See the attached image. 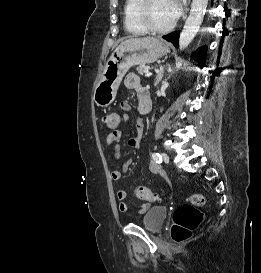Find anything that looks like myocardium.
Masks as SVG:
<instances>
[{"label": "myocardium", "mask_w": 261, "mask_h": 273, "mask_svg": "<svg viewBox=\"0 0 261 273\" xmlns=\"http://www.w3.org/2000/svg\"><path fill=\"white\" fill-rule=\"evenodd\" d=\"M153 0H140V3L137 7V20L139 23L147 30L150 32H155V33H165L170 31L171 29L174 28L176 25V18L168 25L159 27L156 26L152 23L150 19V6L152 4Z\"/></svg>", "instance_id": "myocardium-1"}]
</instances>
